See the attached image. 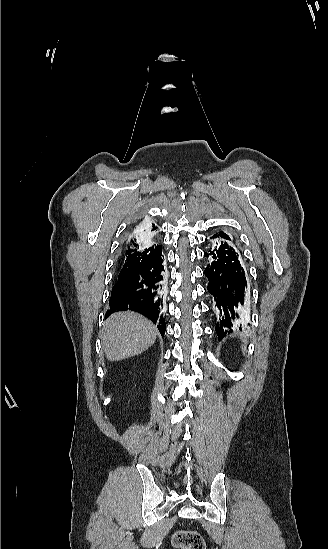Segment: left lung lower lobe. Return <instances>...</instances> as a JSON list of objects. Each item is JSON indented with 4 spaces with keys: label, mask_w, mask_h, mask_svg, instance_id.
I'll return each instance as SVG.
<instances>
[{
    "label": "left lung lower lobe",
    "mask_w": 328,
    "mask_h": 549,
    "mask_svg": "<svg viewBox=\"0 0 328 549\" xmlns=\"http://www.w3.org/2000/svg\"><path fill=\"white\" fill-rule=\"evenodd\" d=\"M218 235L211 237L210 250L204 253L208 265L204 274L208 278V291L214 297V309L220 315L215 330L221 340L232 332L235 322L246 316L248 287L238 250ZM241 329V327H240Z\"/></svg>",
    "instance_id": "1"
}]
</instances>
